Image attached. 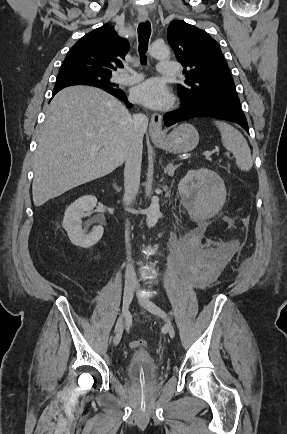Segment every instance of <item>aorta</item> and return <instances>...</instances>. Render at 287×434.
<instances>
[{
  "instance_id": "762f6f07",
  "label": "aorta",
  "mask_w": 287,
  "mask_h": 434,
  "mask_svg": "<svg viewBox=\"0 0 287 434\" xmlns=\"http://www.w3.org/2000/svg\"><path fill=\"white\" fill-rule=\"evenodd\" d=\"M149 53L152 57L157 59H168L170 57V50L164 43H153L149 48ZM160 215L159 199L155 198L147 209V226L149 228L154 227L159 220Z\"/></svg>"
}]
</instances>
